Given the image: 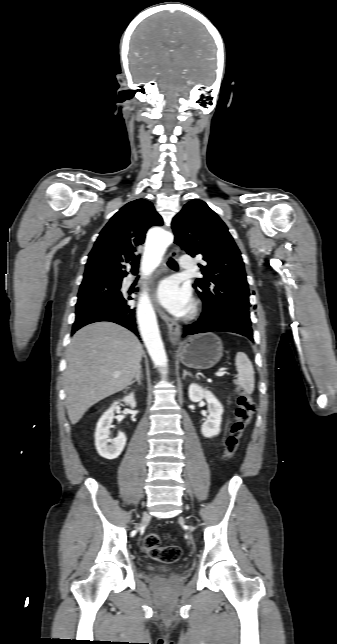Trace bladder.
Listing matches in <instances>:
<instances>
[{
    "label": "bladder",
    "instance_id": "1",
    "mask_svg": "<svg viewBox=\"0 0 337 644\" xmlns=\"http://www.w3.org/2000/svg\"><path fill=\"white\" fill-rule=\"evenodd\" d=\"M151 569L157 570V571H164V572L173 571L172 567H165V566H151Z\"/></svg>",
    "mask_w": 337,
    "mask_h": 644
}]
</instances>
